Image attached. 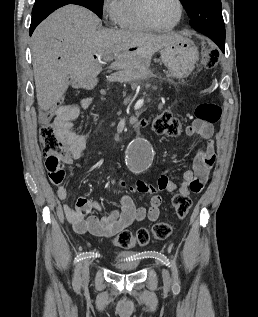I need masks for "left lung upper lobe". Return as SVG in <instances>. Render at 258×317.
<instances>
[{"label": "left lung upper lobe", "mask_w": 258, "mask_h": 317, "mask_svg": "<svg viewBox=\"0 0 258 317\" xmlns=\"http://www.w3.org/2000/svg\"><path fill=\"white\" fill-rule=\"evenodd\" d=\"M188 16L191 18V26L198 28H222L225 29L221 0H180Z\"/></svg>", "instance_id": "left-lung-upper-lobe-1"}]
</instances>
